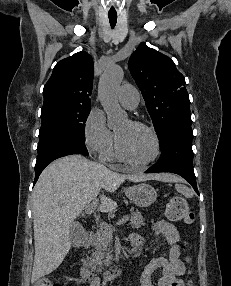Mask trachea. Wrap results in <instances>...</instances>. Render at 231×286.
Instances as JSON below:
<instances>
[{
  "instance_id": "3493384b",
  "label": "trachea",
  "mask_w": 231,
  "mask_h": 286,
  "mask_svg": "<svg viewBox=\"0 0 231 286\" xmlns=\"http://www.w3.org/2000/svg\"><path fill=\"white\" fill-rule=\"evenodd\" d=\"M108 18L111 27L114 28L117 22V14H108Z\"/></svg>"
}]
</instances>
